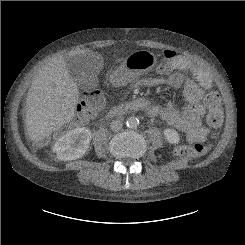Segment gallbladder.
<instances>
[{
  "label": "gallbladder",
  "instance_id": "1",
  "mask_svg": "<svg viewBox=\"0 0 245 245\" xmlns=\"http://www.w3.org/2000/svg\"><path fill=\"white\" fill-rule=\"evenodd\" d=\"M86 58L84 56H74L67 58V68L71 78L77 86L85 88L88 85L97 82V77L94 72L86 66Z\"/></svg>",
  "mask_w": 245,
  "mask_h": 245
}]
</instances>
